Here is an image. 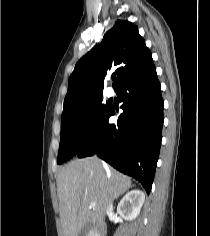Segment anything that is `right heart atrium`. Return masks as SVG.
<instances>
[{"label":"right heart atrium","mask_w":210,"mask_h":236,"mask_svg":"<svg viewBox=\"0 0 210 236\" xmlns=\"http://www.w3.org/2000/svg\"><path fill=\"white\" fill-rule=\"evenodd\" d=\"M95 123V113L92 110L85 112L83 116V127L86 133H90L93 130Z\"/></svg>","instance_id":"obj_1"}]
</instances>
